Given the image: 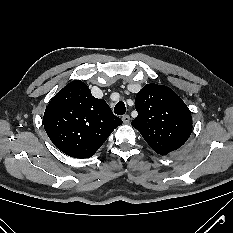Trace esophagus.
Returning a JSON list of instances; mask_svg holds the SVG:
<instances>
[{
  "mask_svg": "<svg viewBox=\"0 0 233 233\" xmlns=\"http://www.w3.org/2000/svg\"><path fill=\"white\" fill-rule=\"evenodd\" d=\"M122 120H123L124 124H128L130 122V116L129 115H124L122 117Z\"/></svg>",
  "mask_w": 233,
  "mask_h": 233,
  "instance_id": "1",
  "label": "esophagus"
}]
</instances>
